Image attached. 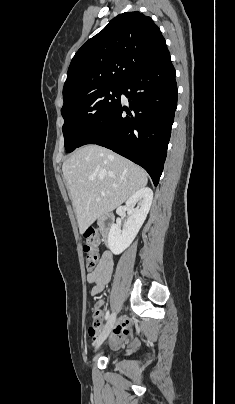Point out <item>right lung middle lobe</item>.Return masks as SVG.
<instances>
[{
	"label": "right lung middle lobe",
	"instance_id": "1",
	"mask_svg": "<svg viewBox=\"0 0 235 404\" xmlns=\"http://www.w3.org/2000/svg\"><path fill=\"white\" fill-rule=\"evenodd\" d=\"M122 85L108 86L79 96L61 109L66 152L80 146L85 137L107 117L121 101Z\"/></svg>",
	"mask_w": 235,
	"mask_h": 404
}]
</instances>
